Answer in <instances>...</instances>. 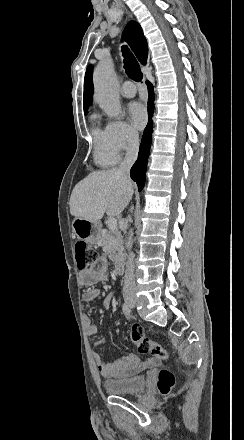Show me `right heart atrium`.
Listing matches in <instances>:
<instances>
[{"mask_svg": "<svg viewBox=\"0 0 244 440\" xmlns=\"http://www.w3.org/2000/svg\"><path fill=\"white\" fill-rule=\"evenodd\" d=\"M104 132L107 150L115 153L132 147L138 138L136 131L121 120L108 121Z\"/></svg>", "mask_w": 244, "mask_h": 440, "instance_id": "right-heart-atrium-1", "label": "right heart atrium"}]
</instances>
